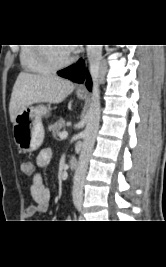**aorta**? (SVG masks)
<instances>
[{
	"mask_svg": "<svg viewBox=\"0 0 166 267\" xmlns=\"http://www.w3.org/2000/svg\"><path fill=\"white\" fill-rule=\"evenodd\" d=\"M87 57L89 70L92 78V98L90 108L87 113V125L83 135V146L79 156L77 169L73 179V200L81 202L83 197V187L88 162L95 144L96 135L100 121V65L102 59V45H87Z\"/></svg>",
	"mask_w": 166,
	"mask_h": 267,
	"instance_id": "aorta-1",
	"label": "aorta"
}]
</instances>
